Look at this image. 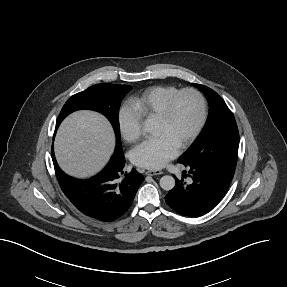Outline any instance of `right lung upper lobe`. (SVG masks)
<instances>
[{"instance_id": "1", "label": "right lung upper lobe", "mask_w": 287, "mask_h": 287, "mask_svg": "<svg viewBox=\"0 0 287 287\" xmlns=\"http://www.w3.org/2000/svg\"><path fill=\"white\" fill-rule=\"evenodd\" d=\"M56 124H57V127H58L60 123H56Z\"/></svg>"}]
</instances>
